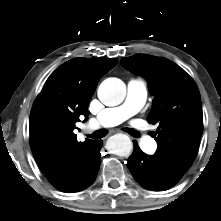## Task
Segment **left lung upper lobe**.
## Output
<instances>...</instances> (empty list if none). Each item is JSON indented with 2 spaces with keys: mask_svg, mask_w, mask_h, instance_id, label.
<instances>
[{
  "mask_svg": "<svg viewBox=\"0 0 221 221\" xmlns=\"http://www.w3.org/2000/svg\"><path fill=\"white\" fill-rule=\"evenodd\" d=\"M121 64L149 83L154 99L147 121L159 124L154 156L169 177L179 181L196 157L203 132L199 90L181 67L166 58L137 54L121 59Z\"/></svg>",
  "mask_w": 221,
  "mask_h": 221,
  "instance_id": "left-lung-upper-lobe-1",
  "label": "left lung upper lobe"
}]
</instances>
